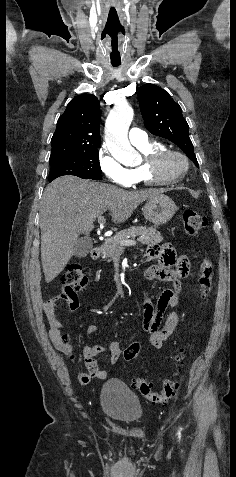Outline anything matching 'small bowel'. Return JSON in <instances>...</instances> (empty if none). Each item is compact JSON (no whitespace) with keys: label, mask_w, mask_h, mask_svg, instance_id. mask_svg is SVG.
I'll return each mask as SVG.
<instances>
[{"label":"small bowel","mask_w":236,"mask_h":477,"mask_svg":"<svg viewBox=\"0 0 236 477\" xmlns=\"http://www.w3.org/2000/svg\"><path fill=\"white\" fill-rule=\"evenodd\" d=\"M177 256L175 249L171 244L161 246L151 244L147 247L146 257L148 260L156 259L157 264L151 265L146 271V277L150 280H158L170 284L165 288L154 303L145 299L142 305V329L149 335V343L154 349H161L164 342L174 333L179 315L177 312H170L163 320L168 309L176 307L179 303V295L182 292L181 279L186 276L190 267L188 259L187 272L178 271V266H183L182 257ZM59 302H64L69 310H76L79 307V299L75 294L61 293L57 296L47 299L43 303V311L49 324V336L56 348L66 354L71 353V346L62 334L61 322L56 315V307ZM100 328L97 325L86 327L87 335H97ZM103 353L110 354V362L116 364L122 354V348L116 341H111L107 346L96 344L86 345L83 348V357L88 372L78 374V382L82 385L88 384L91 379H105L108 376L107 371L100 368L96 357Z\"/></svg>","instance_id":"obj_1"}]
</instances>
